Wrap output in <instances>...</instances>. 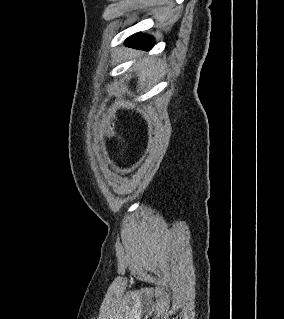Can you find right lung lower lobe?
<instances>
[{
    "instance_id": "obj_1",
    "label": "right lung lower lobe",
    "mask_w": 284,
    "mask_h": 319,
    "mask_svg": "<svg viewBox=\"0 0 284 319\" xmlns=\"http://www.w3.org/2000/svg\"><path fill=\"white\" fill-rule=\"evenodd\" d=\"M126 45L148 50L153 47L154 39L149 35L137 33L127 39Z\"/></svg>"
}]
</instances>
